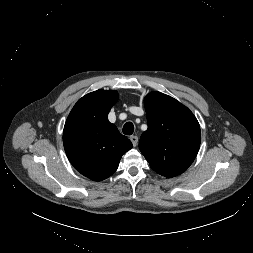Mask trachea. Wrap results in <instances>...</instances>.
Listing matches in <instances>:
<instances>
[{"instance_id": "3493384b", "label": "trachea", "mask_w": 253, "mask_h": 253, "mask_svg": "<svg viewBox=\"0 0 253 253\" xmlns=\"http://www.w3.org/2000/svg\"><path fill=\"white\" fill-rule=\"evenodd\" d=\"M134 132V125L132 122H127L125 123V125L123 126V133L125 135H132Z\"/></svg>"}]
</instances>
